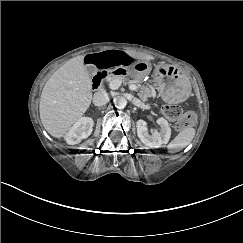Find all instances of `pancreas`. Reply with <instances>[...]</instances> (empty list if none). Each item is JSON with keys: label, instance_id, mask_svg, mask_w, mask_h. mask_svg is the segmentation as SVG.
Instances as JSON below:
<instances>
[{"label": "pancreas", "instance_id": "cf45deb5", "mask_svg": "<svg viewBox=\"0 0 243 243\" xmlns=\"http://www.w3.org/2000/svg\"><path fill=\"white\" fill-rule=\"evenodd\" d=\"M112 81L113 80H118L120 82H124L125 79L121 78V77H111L110 78ZM137 96L142 100V101H147L148 98H150L152 96V93L150 91V89L146 86V85H138V92H137Z\"/></svg>", "mask_w": 243, "mask_h": 243}]
</instances>
